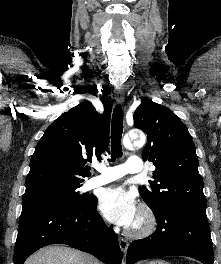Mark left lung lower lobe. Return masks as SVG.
Instances as JSON below:
<instances>
[{
    "instance_id": "0a47b994",
    "label": "left lung lower lobe",
    "mask_w": 221,
    "mask_h": 264,
    "mask_svg": "<svg viewBox=\"0 0 221 264\" xmlns=\"http://www.w3.org/2000/svg\"><path fill=\"white\" fill-rule=\"evenodd\" d=\"M156 231L132 242L127 264L163 256H188L203 264H213V244L206 209L172 207L154 212Z\"/></svg>"
}]
</instances>
